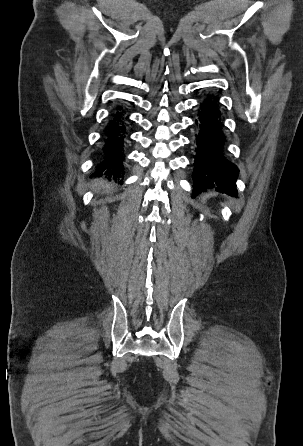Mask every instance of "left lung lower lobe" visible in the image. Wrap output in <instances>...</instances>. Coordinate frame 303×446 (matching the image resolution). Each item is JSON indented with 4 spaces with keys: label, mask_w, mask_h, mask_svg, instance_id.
Here are the masks:
<instances>
[{
    "label": "left lung lower lobe",
    "mask_w": 303,
    "mask_h": 446,
    "mask_svg": "<svg viewBox=\"0 0 303 446\" xmlns=\"http://www.w3.org/2000/svg\"><path fill=\"white\" fill-rule=\"evenodd\" d=\"M220 111L208 97L200 104V126L197 136L193 171V194L214 188L216 191L237 196V167L225 159L222 146L225 137L221 131Z\"/></svg>",
    "instance_id": "1"
}]
</instances>
